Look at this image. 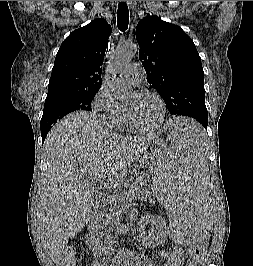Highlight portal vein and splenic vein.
I'll use <instances>...</instances> for the list:
<instances>
[{"label": "portal vein and splenic vein", "mask_w": 253, "mask_h": 266, "mask_svg": "<svg viewBox=\"0 0 253 266\" xmlns=\"http://www.w3.org/2000/svg\"><path fill=\"white\" fill-rule=\"evenodd\" d=\"M93 180L96 183L100 184V188H105L108 192H115V190H112L111 187L109 186V183L104 181L101 177H94Z\"/></svg>", "instance_id": "1"}]
</instances>
